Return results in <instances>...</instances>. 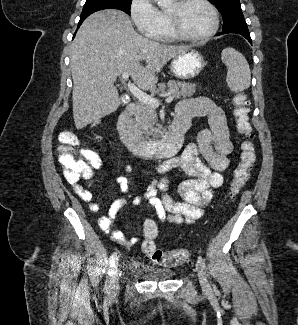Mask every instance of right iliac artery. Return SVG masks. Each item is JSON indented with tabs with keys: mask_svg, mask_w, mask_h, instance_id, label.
<instances>
[{
	"mask_svg": "<svg viewBox=\"0 0 298 325\" xmlns=\"http://www.w3.org/2000/svg\"><path fill=\"white\" fill-rule=\"evenodd\" d=\"M116 260H117V254L114 252L110 258V262H109V270H108V273H107V280H106V283H105V286H104V290L107 291L108 290V286H107V282H108V279L109 277L112 275L113 273V270L116 266Z\"/></svg>",
	"mask_w": 298,
	"mask_h": 325,
	"instance_id": "1",
	"label": "right iliac artery"
}]
</instances>
